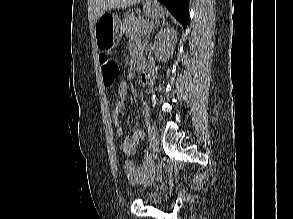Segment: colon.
I'll list each match as a JSON object with an SVG mask.
<instances>
[{
  "mask_svg": "<svg viewBox=\"0 0 293 219\" xmlns=\"http://www.w3.org/2000/svg\"><path fill=\"white\" fill-rule=\"evenodd\" d=\"M99 60L103 75V82L106 86H111L119 75V65L116 59L109 54H101ZM125 168L127 169L130 177H134L136 170L132 160L126 161Z\"/></svg>",
  "mask_w": 293,
  "mask_h": 219,
  "instance_id": "1",
  "label": "colon"
}]
</instances>
